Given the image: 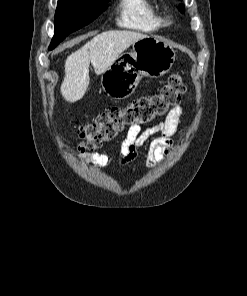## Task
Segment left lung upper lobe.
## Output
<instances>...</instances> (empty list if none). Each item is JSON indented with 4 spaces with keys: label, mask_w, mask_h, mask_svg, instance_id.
Listing matches in <instances>:
<instances>
[{
    "label": "left lung upper lobe",
    "mask_w": 247,
    "mask_h": 296,
    "mask_svg": "<svg viewBox=\"0 0 247 296\" xmlns=\"http://www.w3.org/2000/svg\"><path fill=\"white\" fill-rule=\"evenodd\" d=\"M183 10H184L183 5H180V11L183 12Z\"/></svg>",
    "instance_id": "left-lung-upper-lobe-1"
}]
</instances>
